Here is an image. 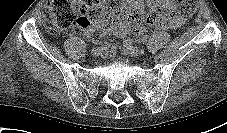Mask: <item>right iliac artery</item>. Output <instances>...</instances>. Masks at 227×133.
Here are the masks:
<instances>
[{"mask_svg":"<svg viewBox=\"0 0 227 133\" xmlns=\"http://www.w3.org/2000/svg\"><path fill=\"white\" fill-rule=\"evenodd\" d=\"M107 44L106 43H99V48H101V49H107Z\"/></svg>","mask_w":227,"mask_h":133,"instance_id":"right-iliac-artery-1","label":"right iliac artery"}]
</instances>
